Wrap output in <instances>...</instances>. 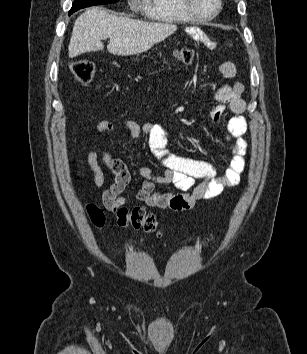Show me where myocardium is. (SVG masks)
<instances>
[{"label": "myocardium", "mask_w": 307, "mask_h": 354, "mask_svg": "<svg viewBox=\"0 0 307 354\" xmlns=\"http://www.w3.org/2000/svg\"><path fill=\"white\" fill-rule=\"evenodd\" d=\"M180 7L182 11L191 19L198 22H208L213 20L221 11L222 0H217L216 10L209 16L197 15L191 7V0H180Z\"/></svg>", "instance_id": "myocardium-1"}]
</instances>
